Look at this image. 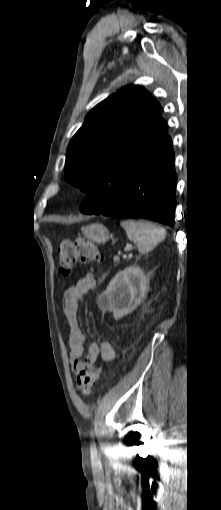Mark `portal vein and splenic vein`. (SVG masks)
Wrapping results in <instances>:
<instances>
[{
	"label": "portal vein and splenic vein",
	"mask_w": 221,
	"mask_h": 510,
	"mask_svg": "<svg viewBox=\"0 0 221 510\" xmlns=\"http://www.w3.org/2000/svg\"><path fill=\"white\" fill-rule=\"evenodd\" d=\"M128 250H130V248ZM119 259H120L119 256H114V258H113L114 261H119Z\"/></svg>",
	"instance_id": "1"
}]
</instances>
